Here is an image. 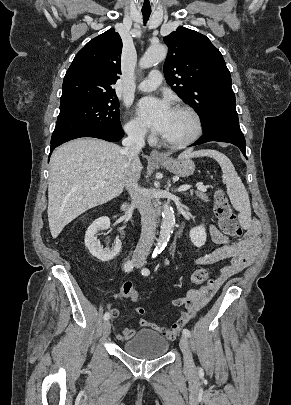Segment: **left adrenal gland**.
Masks as SVG:
<instances>
[{"mask_svg":"<svg viewBox=\"0 0 291 405\" xmlns=\"http://www.w3.org/2000/svg\"><path fill=\"white\" fill-rule=\"evenodd\" d=\"M168 186H169V187L171 186L170 181H168ZM174 192H176V191H174Z\"/></svg>","mask_w":291,"mask_h":405,"instance_id":"left-adrenal-gland-1","label":"left adrenal gland"}]
</instances>
